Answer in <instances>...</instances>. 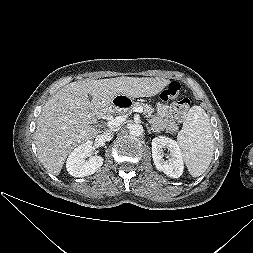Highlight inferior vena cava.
Here are the masks:
<instances>
[{
  "instance_id": "obj_1",
  "label": "inferior vena cava",
  "mask_w": 253,
  "mask_h": 253,
  "mask_svg": "<svg viewBox=\"0 0 253 253\" xmlns=\"http://www.w3.org/2000/svg\"><path fill=\"white\" fill-rule=\"evenodd\" d=\"M119 130V128H117V129H113V131H118ZM108 134H110V133H108Z\"/></svg>"
}]
</instances>
